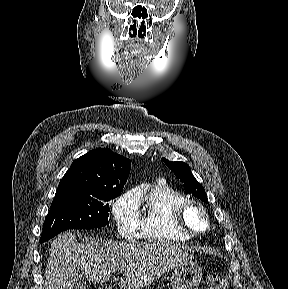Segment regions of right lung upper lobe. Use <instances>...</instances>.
<instances>
[{
    "mask_svg": "<svg viewBox=\"0 0 288 289\" xmlns=\"http://www.w3.org/2000/svg\"><path fill=\"white\" fill-rule=\"evenodd\" d=\"M130 168L131 162L127 158L110 149L97 148L73 161L61 179L57 192L122 191Z\"/></svg>",
    "mask_w": 288,
    "mask_h": 289,
    "instance_id": "obj_1",
    "label": "right lung upper lobe"
}]
</instances>
